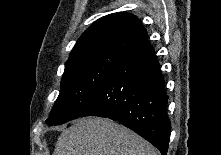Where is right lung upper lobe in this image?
<instances>
[{"mask_svg":"<svg viewBox=\"0 0 221 155\" xmlns=\"http://www.w3.org/2000/svg\"><path fill=\"white\" fill-rule=\"evenodd\" d=\"M147 40V32L137 17L119 12L104 16L78 39L65 67L72 62L104 53L125 56Z\"/></svg>","mask_w":221,"mask_h":155,"instance_id":"right-lung-upper-lobe-1","label":"right lung upper lobe"}]
</instances>
